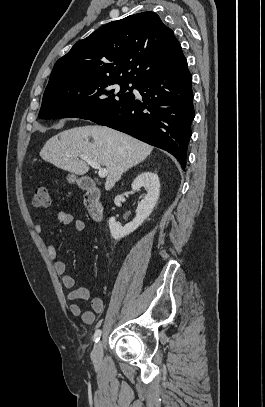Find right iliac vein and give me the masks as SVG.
<instances>
[{
	"instance_id": "obj_1",
	"label": "right iliac vein",
	"mask_w": 265,
	"mask_h": 407,
	"mask_svg": "<svg viewBox=\"0 0 265 407\" xmlns=\"http://www.w3.org/2000/svg\"><path fill=\"white\" fill-rule=\"evenodd\" d=\"M103 355V344L102 341H99L95 344L93 351H92V360L95 364H99L102 360Z\"/></svg>"
}]
</instances>
